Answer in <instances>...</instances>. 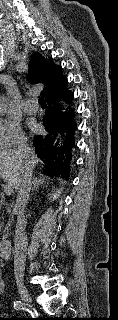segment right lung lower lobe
I'll use <instances>...</instances> for the list:
<instances>
[{
  "label": "right lung lower lobe",
  "instance_id": "right-lung-lower-lobe-1",
  "mask_svg": "<svg viewBox=\"0 0 118 320\" xmlns=\"http://www.w3.org/2000/svg\"><path fill=\"white\" fill-rule=\"evenodd\" d=\"M62 90L63 88L45 99L48 104L44 116L47 133L35 136L33 145L37 156L46 164L44 174L61 175L68 180L76 124L72 110L64 113L58 104ZM64 97L66 101H69L73 95L66 91Z\"/></svg>",
  "mask_w": 118,
  "mask_h": 320
}]
</instances>
